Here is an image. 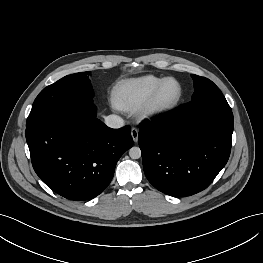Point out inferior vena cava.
Listing matches in <instances>:
<instances>
[{"label": "inferior vena cava", "instance_id": "obj_1", "mask_svg": "<svg viewBox=\"0 0 263 263\" xmlns=\"http://www.w3.org/2000/svg\"><path fill=\"white\" fill-rule=\"evenodd\" d=\"M105 124L113 129H118L124 126V120L118 115H109L105 117Z\"/></svg>", "mask_w": 263, "mask_h": 263}]
</instances>
